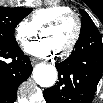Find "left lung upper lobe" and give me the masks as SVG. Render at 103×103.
Here are the masks:
<instances>
[{
	"mask_svg": "<svg viewBox=\"0 0 103 103\" xmlns=\"http://www.w3.org/2000/svg\"><path fill=\"white\" fill-rule=\"evenodd\" d=\"M80 14L82 15L80 34H83L84 32L88 30L97 29L94 22L92 21L90 16L85 11L80 10Z\"/></svg>",
	"mask_w": 103,
	"mask_h": 103,
	"instance_id": "obj_1",
	"label": "left lung upper lobe"
}]
</instances>
